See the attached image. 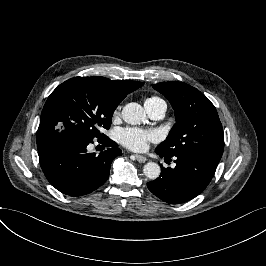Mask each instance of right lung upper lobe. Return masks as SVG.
I'll return each instance as SVG.
<instances>
[{
    "instance_id": "right-lung-upper-lobe-1",
    "label": "right lung upper lobe",
    "mask_w": 266,
    "mask_h": 266,
    "mask_svg": "<svg viewBox=\"0 0 266 266\" xmlns=\"http://www.w3.org/2000/svg\"><path fill=\"white\" fill-rule=\"evenodd\" d=\"M113 81L116 84V86L129 93L143 85V83L138 81H125V80H113Z\"/></svg>"
}]
</instances>
